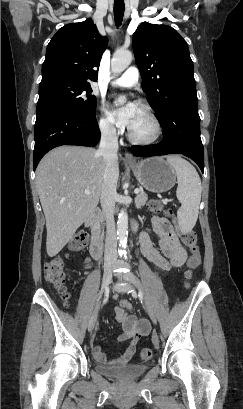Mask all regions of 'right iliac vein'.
I'll return each instance as SVG.
<instances>
[{
  "label": "right iliac vein",
  "instance_id": "right-iliac-vein-1",
  "mask_svg": "<svg viewBox=\"0 0 243 409\" xmlns=\"http://www.w3.org/2000/svg\"><path fill=\"white\" fill-rule=\"evenodd\" d=\"M112 269L111 268H107L104 271V275H103V280H102V290H105L108 286V284L110 283L111 279H112ZM99 306L100 303H97V305L95 306L93 313L90 317L89 323H88V332H92L96 321H97V316H98V310H99Z\"/></svg>",
  "mask_w": 243,
  "mask_h": 409
}]
</instances>
